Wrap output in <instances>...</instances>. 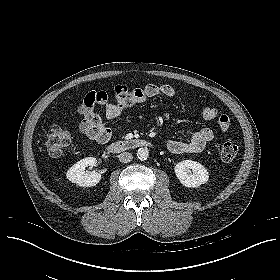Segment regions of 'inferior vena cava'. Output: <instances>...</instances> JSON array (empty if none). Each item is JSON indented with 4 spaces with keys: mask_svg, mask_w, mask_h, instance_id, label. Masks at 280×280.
Returning a JSON list of instances; mask_svg holds the SVG:
<instances>
[{
    "mask_svg": "<svg viewBox=\"0 0 280 280\" xmlns=\"http://www.w3.org/2000/svg\"><path fill=\"white\" fill-rule=\"evenodd\" d=\"M133 155L130 152H123L119 155V161L122 163H128L132 161Z\"/></svg>",
    "mask_w": 280,
    "mask_h": 280,
    "instance_id": "602c4592",
    "label": "inferior vena cava"
}]
</instances>
